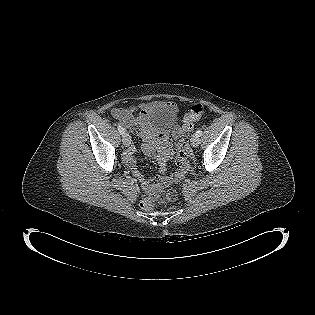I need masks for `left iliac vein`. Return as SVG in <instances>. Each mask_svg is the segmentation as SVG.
<instances>
[{"instance_id": "1", "label": "left iliac vein", "mask_w": 315, "mask_h": 315, "mask_svg": "<svg viewBox=\"0 0 315 315\" xmlns=\"http://www.w3.org/2000/svg\"><path fill=\"white\" fill-rule=\"evenodd\" d=\"M199 143H200L199 137L196 134L192 135V137H191V145L193 147H198Z\"/></svg>"}]
</instances>
